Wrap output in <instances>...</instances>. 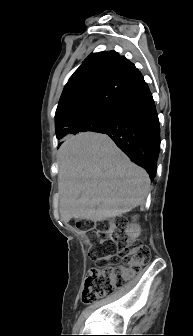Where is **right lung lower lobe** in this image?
Wrapping results in <instances>:
<instances>
[{
  "mask_svg": "<svg viewBox=\"0 0 193 336\" xmlns=\"http://www.w3.org/2000/svg\"><path fill=\"white\" fill-rule=\"evenodd\" d=\"M98 132L107 134L154 179L160 151L159 120L152 94L140 72L115 100Z\"/></svg>",
  "mask_w": 193,
  "mask_h": 336,
  "instance_id": "98d812e1",
  "label": "right lung lower lobe"
}]
</instances>
